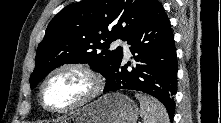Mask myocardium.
Returning a JSON list of instances; mask_svg holds the SVG:
<instances>
[{"label":"myocardium","mask_w":221,"mask_h":123,"mask_svg":"<svg viewBox=\"0 0 221 123\" xmlns=\"http://www.w3.org/2000/svg\"><path fill=\"white\" fill-rule=\"evenodd\" d=\"M65 70H74V71H79L85 74L90 79L92 86H91L90 91L85 95V97L82 98L77 103L64 107V108H55V107L48 105L47 102L45 101V97H44L45 87L54 75ZM103 87H104V82H103L101 75L97 73L96 71H94L89 66L82 64V63H74V62L65 63V64L55 67L46 75L39 89V98H40L41 105L46 111L51 112V113H68V112L80 109L88 105L92 101H94L101 94Z\"/></svg>","instance_id":"obj_1"}]
</instances>
